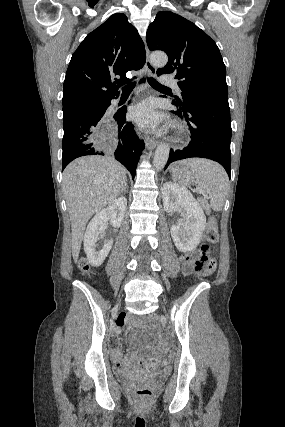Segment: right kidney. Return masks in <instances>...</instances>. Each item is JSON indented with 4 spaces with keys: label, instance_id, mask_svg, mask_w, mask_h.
Here are the masks:
<instances>
[{
    "label": "right kidney",
    "instance_id": "obj_1",
    "mask_svg": "<svg viewBox=\"0 0 285 427\" xmlns=\"http://www.w3.org/2000/svg\"><path fill=\"white\" fill-rule=\"evenodd\" d=\"M126 206V198L119 197L111 202L107 208L97 212L88 224L84 235V251L92 266H100L109 254L113 245V240L107 239L100 246V249L96 250V247H99V245H97V241L100 239L99 236L104 234L107 220H110V223L114 228H119L124 218Z\"/></svg>",
    "mask_w": 285,
    "mask_h": 427
}]
</instances>
